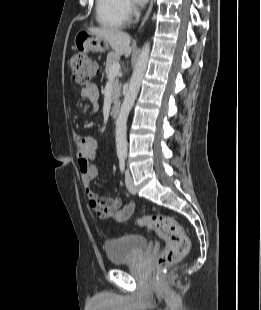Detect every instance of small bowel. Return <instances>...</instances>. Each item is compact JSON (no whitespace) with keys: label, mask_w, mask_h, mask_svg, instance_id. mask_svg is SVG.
I'll return each mask as SVG.
<instances>
[{"label":"small bowel","mask_w":261,"mask_h":310,"mask_svg":"<svg viewBox=\"0 0 261 310\" xmlns=\"http://www.w3.org/2000/svg\"><path fill=\"white\" fill-rule=\"evenodd\" d=\"M82 96L89 100L94 106L98 101V90L94 84H88L82 89ZM74 140L77 143V163L81 177V185L87 200L88 207L98 216L110 218L116 223L128 219L135 210L133 202L122 206L120 199L110 196L97 195L92 192L90 184L97 176V169L91 163L97 156L100 142L95 138L74 133Z\"/></svg>","instance_id":"obj_1"}]
</instances>
